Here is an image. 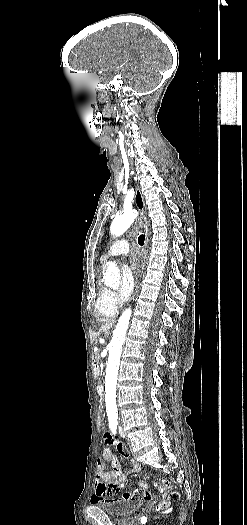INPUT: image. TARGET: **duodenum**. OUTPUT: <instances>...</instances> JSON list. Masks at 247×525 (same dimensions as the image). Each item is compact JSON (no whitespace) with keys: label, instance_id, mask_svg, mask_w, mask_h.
<instances>
[{"label":"duodenum","instance_id":"obj_1","mask_svg":"<svg viewBox=\"0 0 247 525\" xmlns=\"http://www.w3.org/2000/svg\"><path fill=\"white\" fill-rule=\"evenodd\" d=\"M93 372H94V374L96 376H98L99 373H100V366H99V363L97 361H95L94 364H93ZM97 391H98V394L100 395V397L102 399H104L105 392H104L103 386H98Z\"/></svg>","mask_w":247,"mask_h":525}]
</instances>
